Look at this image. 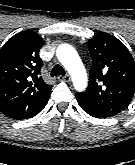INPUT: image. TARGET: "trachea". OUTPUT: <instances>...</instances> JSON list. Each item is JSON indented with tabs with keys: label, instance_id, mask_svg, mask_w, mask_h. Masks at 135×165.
Here are the masks:
<instances>
[{
	"label": "trachea",
	"instance_id": "trachea-1",
	"mask_svg": "<svg viewBox=\"0 0 135 165\" xmlns=\"http://www.w3.org/2000/svg\"><path fill=\"white\" fill-rule=\"evenodd\" d=\"M57 75H62V76L65 75V70L60 65H55L51 71L52 77L57 76Z\"/></svg>",
	"mask_w": 135,
	"mask_h": 165
}]
</instances>
